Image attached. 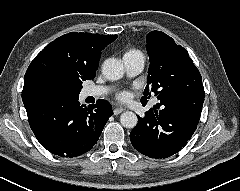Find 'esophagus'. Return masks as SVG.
<instances>
[{"label": "esophagus", "mask_w": 240, "mask_h": 191, "mask_svg": "<svg viewBox=\"0 0 240 191\" xmlns=\"http://www.w3.org/2000/svg\"><path fill=\"white\" fill-rule=\"evenodd\" d=\"M123 111H124L123 108H121V107H116V108L113 110V113H114V115H118V114L122 113Z\"/></svg>", "instance_id": "obj_1"}]
</instances>
